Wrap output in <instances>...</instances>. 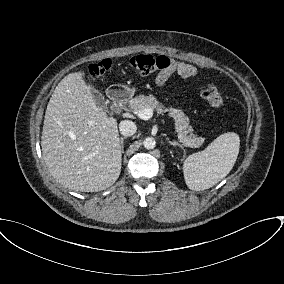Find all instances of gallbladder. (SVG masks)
<instances>
[{
    "label": "gallbladder",
    "instance_id": "1",
    "mask_svg": "<svg viewBox=\"0 0 284 284\" xmlns=\"http://www.w3.org/2000/svg\"><path fill=\"white\" fill-rule=\"evenodd\" d=\"M91 93L94 98L96 106L107 111L108 103L106 102L104 95L94 88H91Z\"/></svg>",
    "mask_w": 284,
    "mask_h": 284
}]
</instances>
